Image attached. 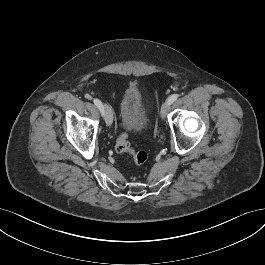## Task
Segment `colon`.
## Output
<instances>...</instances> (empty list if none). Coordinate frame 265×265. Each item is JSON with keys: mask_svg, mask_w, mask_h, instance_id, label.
I'll return each instance as SVG.
<instances>
[{"mask_svg": "<svg viewBox=\"0 0 265 265\" xmlns=\"http://www.w3.org/2000/svg\"><path fill=\"white\" fill-rule=\"evenodd\" d=\"M116 150L118 153L129 155L136 167H142L148 160L147 152L132 145L126 133H122L117 139Z\"/></svg>", "mask_w": 265, "mask_h": 265, "instance_id": "5ec220e1", "label": "colon"}]
</instances>
